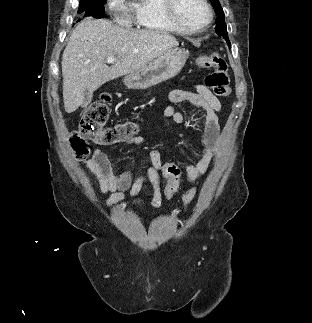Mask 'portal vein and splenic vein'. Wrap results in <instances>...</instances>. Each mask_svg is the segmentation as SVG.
Returning <instances> with one entry per match:
<instances>
[{"label":"portal vein and splenic vein","mask_w":312,"mask_h":323,"mask_svg":"<svg viewBox=\"0 0 312 323\" xmlns=\"http://www.w3.org/2000/svg\"><path fill=\"white\" fill-rule=\"evenodd\" d=\"M115 62H116L115 56H109V58H107V64H115Z\"/></svg>","instance_id":"portal-vein-and-splenic-vein-1"}]
</instances>
